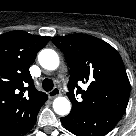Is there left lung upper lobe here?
<instances>
[{
	"mask_svg": "<svg viewBox=\"0 0 136 136\" xmlns=\"http://www.w3.org/2000/svg\"><path fill=\"white\" fill-rule=\"evenodd\" d=\"M52 41L70 67L68 97L72 111L121 118L127 108L130 82L119 53L105 41L86 34L58 36ZM81 82L88 83L86 91L79 87ZM74 89L81 99L75 97Z\"/></svg>",
	"mask_w": 136,
	"mask_h": 136,
	"instance_id": "obj_1",
	"label": "left lung upper lobe"
}]
</instances>
